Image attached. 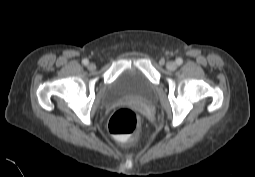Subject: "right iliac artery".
<instances>
[{"mask_svg":"<svg viewBox=\"0 0 255 177\" xmlns=\"http://www.w3.org/2000/svg\"><path fill=\"white\" fill-rule=\"evenodd\" d=\"M82 63H83V65L86 66V65H88L89 61H88L87 59H83V60H82Z\"/></svg>","mask_w":255,"mask_h":177,"instance_id":"82829eb1","label":"right iliac artery"}]
</instances>
